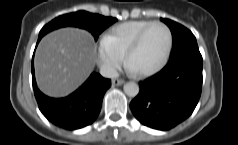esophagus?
Listing matches in <instances>:
<instances>
[{
	"mask_svg": "<svg viewBox=\"0 0 238 145\" xmlns=\"http://www.w3.org/2000/svg\"><path fill=\"white\" fill-rule=\"evenodd\" d=\"M122 84H124V80H122V79H113L112 80V85L113 86H120Z\"/></svg>",
	"mask_w": 238,
	"mask_h": 145,
	"instance_id": "1",
	"label": "esophagus"
}]
</instances>
